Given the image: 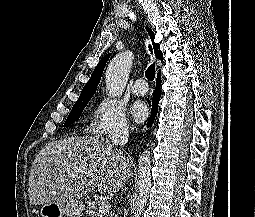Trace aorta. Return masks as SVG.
I'll return each instance as SVG.
<instances>
[{
	"label": "aorta",
	"instance_id": "obj_1",
	"mask_svg": "<svg viewBox=\"0 0 255 217\" xmlns=\"http://www.w3.org/2000/svg\"><path fill=\"white\" fill-rule=\"evenodd\" d=\"M133 54L130 51L117 54L109 63L106 74V88L109 96L117 97L122 95L126 87L130 69L133 62ZM151 188V160L150 151L145 150L138 161V196L135 200V214L133 217H140L143 211Z\"/></svg>",
	"mask_w": 255,
	"mask_h": 217
}]
</instances>
